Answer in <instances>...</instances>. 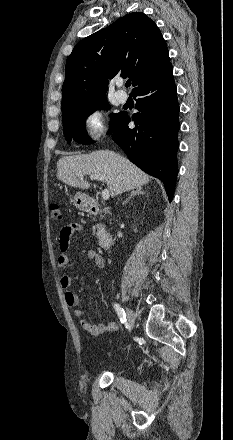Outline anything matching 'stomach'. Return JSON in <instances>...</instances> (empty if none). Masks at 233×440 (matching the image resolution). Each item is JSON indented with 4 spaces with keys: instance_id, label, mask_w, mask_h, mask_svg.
<instances>
[{
    "instance_id": "0dacf381",
    "label": "stomach",
    "mask_w": 233,
    "mask_h": 440,
    "mask_svg": "<svg viewBox=\"0 0 233 440\" xmlns=\"http://www.w3.org/2000/svg\"><path fill=\"white\" fill-rule=\"evenodd\" d=\"M73 205L79 210L89 211L92 206V201L86 194L76 193L73 199Z\"/></svg>"
}]
</instances>
